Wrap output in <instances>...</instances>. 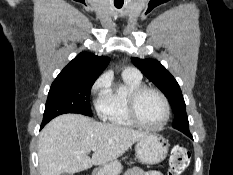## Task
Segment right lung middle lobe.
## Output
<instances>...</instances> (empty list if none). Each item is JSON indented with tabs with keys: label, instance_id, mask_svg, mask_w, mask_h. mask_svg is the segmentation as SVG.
Listing matches in <instances>:
<instances>
[{
	"label": "right lung middle lobe",
	"instance_id": "1",
	"mask_svg": "<svg viewBox=\"0 0 233 175\" xmlns=\"http://www.w3.org/2000/svg\"><path fill=\"white\" fill-rule=\"evenodd\" d=\"M95 80L54 81L48 93L42 125L65 113L92 116L89 99Z\"/></svg>",
	"mask_w": 233,
	"mask_h": 175
}]
</instances>
